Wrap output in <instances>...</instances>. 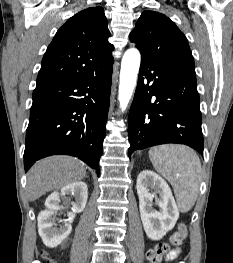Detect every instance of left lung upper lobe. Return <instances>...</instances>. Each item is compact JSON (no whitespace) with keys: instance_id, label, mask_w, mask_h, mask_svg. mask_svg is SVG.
<instances>
[{"instance_id":"1","label":"left lung upper lobe","mask_w":233,"mask_h":263,"mask_svg":"<svg viewBox=\"0 0 233 263\" xmlns=\"http://www.w3.org/2000/svg\"><path fill=\"white\" fill-rule=\"evenodd\" d=\"M142 59L194 69V59L185 35L165 15L146 10L130 34Z\"/></svg>"}]
</instances>
